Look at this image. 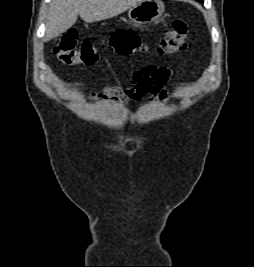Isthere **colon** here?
Returning a JSON list of instances; mask_svg holds the SVG:
<instances>
[{"mask_svg": "<svg viewBox=\"0 0 254 267\" xmlns=\"http://www.w3.org/2000/svg\"><path fill=\"white\" fill-rule=\"evenodd\" d=\"M189 24L185 19H176L171 28L156 46V51L162 55L175 54L183 51L187 46ZM100 46H108L120 55H131L147 50V46L134 33L119 31L109 39L98 44L90 41L78 42L74 30L64 33L59 39L55 52L64 66L76 67L93 65L100 55Z\"/></svg>", "mask_w": 254, "mask_h": 267, "instance_id": "1", "label": "colon"}]
</instances>
